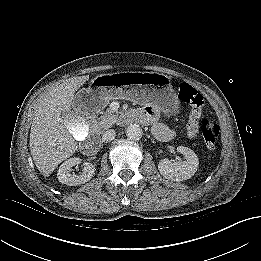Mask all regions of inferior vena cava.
<instances>
[{"label":"inferior vena cava","mask_w":261,"mask_h":261,"mask_svg":"<svg viewBox=\"0 0 261 261\" xmlns=\"http://www.w3.org/2000/svg\"><path fill=\"white\" fill-rule=\"evenodd\" d=\"M116 136V132L113 129L107 130L102 135L103 142H111Z\"/></svg>","instance_id":"inferior-vena-cava-1"}]
</instances>
